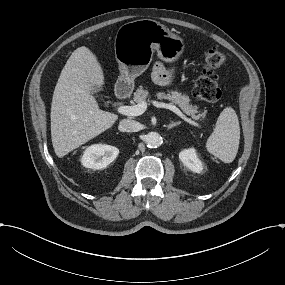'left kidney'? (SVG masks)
Returning a JSON list of instances; mask_svg holds the SVG:
<instances>
[{"mask_svg": "<svg viewBox=\"0 0 285 285\" xmlns=\"http://www.w3.org/2000/svg\"><path fill=\"white\" fill-rule=\"evenodd\" d=\"M183 164L195 173H200L202 170V164L197 159L194 150H185L179 155Z\"/></svg>", "mask_w": 285, "mask_h": 285, "instance_id": "obj_1", "label": "left kidney"}]
</instances>
